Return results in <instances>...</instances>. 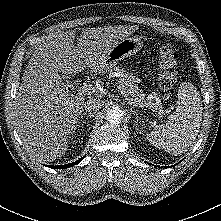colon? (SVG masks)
<instances>
[{"label": "colon", "mask_w": 221, "mask_h": 221, "mask_svg": "<svg viewBox=\"0 0 221 221\" xmlns=\"http://www.w3.org/2000/svg\"><path fill=\"white\" fill-rule=\"evenodd\" d=\"M158 62L159 87L164 91H169L177 80L178 56L176 51L170 45H162L159 49Z\"/></svg>", "instance_id": "5ec220e1"}]
</instances>
